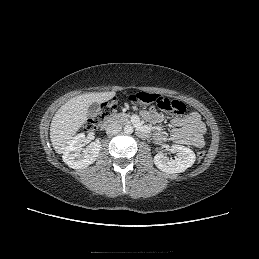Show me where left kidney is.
<instances>
[{"label": "left kidney", "instance_id": "left-kidney-1", "mask_svg": "<svg viewBox=\"0 0 259 259\" xmlns=\"http://www.w3.org/2000/svg\"><path fill=\"white\" fill-rule=\"evenodd\" d=\"M171 149L177 152V156L174 159L167 157L162 152H159L154 157V163L161 171L181 173L194 164L196 156L191 149L182 145H172Z\"/></svg>", "mask_w": 259, "mask_h": 259}]
</instances>
